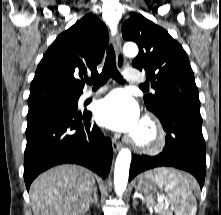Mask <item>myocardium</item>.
Listing matches in <instances>:
<instances>
[{
    "label": "myocardium",
    "instance_id": "obj_1",
    "mask_svg": "<svg viewBox=\"0 0 221 215\" xmlns=\"http://www.w3.org/2000/svg\"><path fill=\"white\" fill-rule=\"evenodd\" d=\"M141 128L145 130V137L134 135L131 144L134 149L144 153H156L162 149L165 143V131L163 126L154 118L146 117L142 121Z\"/></svg>",
    "mask_w": 221,
    "mask_h": 215
}]
</instances>
